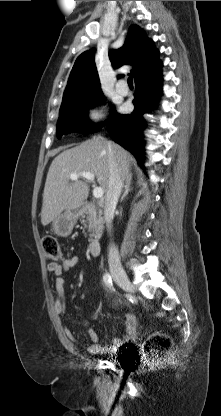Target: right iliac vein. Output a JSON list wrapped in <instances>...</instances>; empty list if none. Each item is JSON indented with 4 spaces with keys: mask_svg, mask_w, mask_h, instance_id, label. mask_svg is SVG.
<instances>
[{
    "mask_svg": "<svg viewBox=\"0 0 221 416\" xmlns=\"http://www.w3.org/2000/svg\"><path fill=\"white\" fill-rule=\"evenodd\" d=\"M112 275L117 284L128 292H133V285L131 284L127 274L121 269H112Z\"/></svg>",
    "mask_w": 221,
    "mask_h": 416,
    "instance_id": "63e3f726",
    "label": "right iliac vein"
}]
</instances>
